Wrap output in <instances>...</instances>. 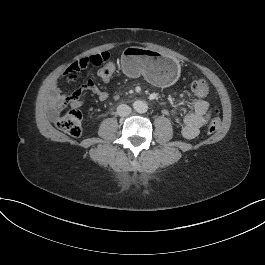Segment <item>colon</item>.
Returning a JSON list of instances; mask_svg holds the SVG:
<instances>
[{
    "label": "colon",
    "mask_w": 265,
    "mask_h": 265,
    "mask_svg": "<svg viewBox=\"0 0 265 265\" xmlns=\"http://www.w3.org/2000/svg\"><path fill=\"white\" fill-rule=\"evenodd\" d=\"M99 76L102 80L108 81L115 72V63L110 60L108 53L101 52L82 58L68 67L66 75L69 80L76 78L79 71L89 66H100ZM192 92L197 97H205L209 93V85L204 79H195L191 85ZM57 127L70 136L78 137L82 133V114L80 110L74 108L67 114L60 117L56 122ZM220 127L219 111H214L212 121L208 126L210 134L215 133Z\"/></svg>",
    "instance_id": "colon-1"
}]
</instances>
